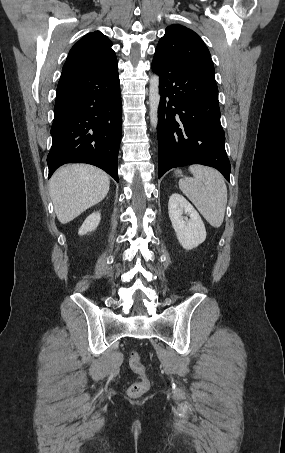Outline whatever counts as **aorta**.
Masks as SVG:
<instances>
[{
	"label": "aorta",
	"mask_w": 285,
	"mask_h": 453,
	"mask_svg": "<svg viewBox=\"0 0 285 453\" xmlns=\"http://www.w3.org/2000/svg\"><path fill=\"white\" fill-rule=\"evenodd\" d=\"M159 81V76L154 74L150 79L149 85V115L153 129H156L158 124V108L160 103Z\"/></svg>",
	"instance_id": "1"
}]
</instances>
